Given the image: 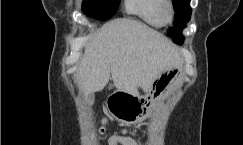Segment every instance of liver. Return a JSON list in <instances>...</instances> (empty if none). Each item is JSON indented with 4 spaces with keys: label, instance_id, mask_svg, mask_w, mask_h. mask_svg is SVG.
<instances>
[{
    "label": "liver",
    "instance_id": "obj_1",
    "mask_svg": "<svg viewBox=\"0 0 243 145\" xmlns=\"http://www.w3.org/2000/svg\"><path fill=\"white\" fill-rule=\"evenodd\" d=\"M181 64V57L162 34L140 21L115 19L88 42L76 72L84 94L101 91L112 77L128 93L147 92L165 70Z\"/></svg>",
    "mask_w": 243,
    "mask_h": 145
}]
</instances>
